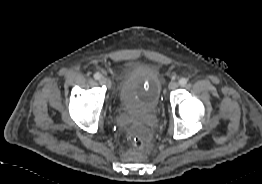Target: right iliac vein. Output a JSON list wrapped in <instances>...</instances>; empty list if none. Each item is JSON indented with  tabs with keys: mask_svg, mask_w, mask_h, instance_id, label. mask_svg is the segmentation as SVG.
<instances>
[{
	"mask_svg": "<svg viewBox=\"0 0 262 184\" xmlns=\"http://www.w3.org/2000/svg\"><path fill=\"white\" fill-rule=\"evenodd\" d=\"M100 84L105 85L107 88L111 87V81L106 77L100 79Z\"/></svg>",
	"mask_w": 262,
	"mask_h": 184,
	"instance_id": "right-iliac-vein-1",
	"label": "right iliac vein"
}]
</instances>
